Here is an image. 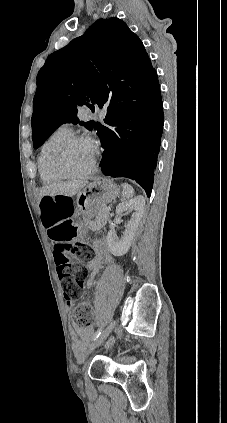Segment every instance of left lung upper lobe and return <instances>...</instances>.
<instances>
[{"label": "left lung upper lobe", "instance_id": "obj_1", "mask_svg": "<svg viewBox=\"0 0 227 423\" xmlns=\"http://www.w3.org/2000/svg\"><path fill=\"white\" fill-rule=\"evenodd\" d=\"M153 71L142 41L124 21L115 17L96 21L82 36L50 54L37 75L32 115L34 148L61 124L79 123L77 106L128 109L135 92ZM80 124L97 130L100 136V123Z\"/></svg>", "mask_w": 227, "mask_h": 423}]
</instances>
